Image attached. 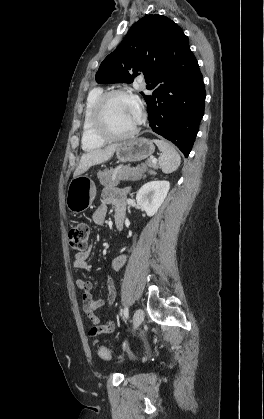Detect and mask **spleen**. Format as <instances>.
<instances>
[{"mask_svg": "<svg viewBox=\"0 0 264 419\" xmlns=\"http://www.w3.org/2000/svg\"><path fill=\"white\" fill-rule=\"evenodd\" d=\"M161 151L159 166L166 174L172 173L180 166L181 157L174 146L164 140H154Z\"/></svg>", "mask_w": 264, "mask_h": 419, "instance_id": "obj_1", "label": "spleen"}]
</instances>
